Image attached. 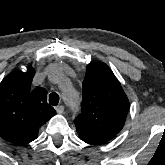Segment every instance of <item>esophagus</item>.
<instances>
[{"mask_svg":"<svg viewBox=\"0 0 165 165\" xmlns=\"http://www.w3.org/2000/svg\"><path fill=\"white\" fill-rule=\"evenodd\" d=\"M56 111L59 114H62L64 112V106L60 105V106H56Z\"/></svg>","mask_w":165,"mask_h":165,"instance_id":"1","label":"esophagus"}]
</instances>
